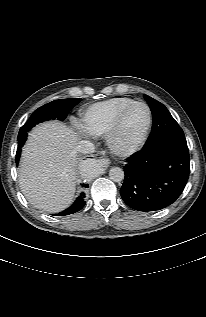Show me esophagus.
Wrapping results in <instances>:
<instances>
[{
  "label": "esophagus",
  "instance_id": "obj_1",
  "mask_svg": "<svg viewBox=\"0 0 206 317\" xmlns=\"http://www.w3.org/2000/svg\"><path fill=\"white\" fill-rule=\"evenodd\" d=\"M95 158L98 160V162L101 165L107 166L110 164V160L107 158L106 154L104 152H101L100 154H97Z\"/></svg>",
  "mask_w": 206,
  "mask_h": 317
}]
</instances>
